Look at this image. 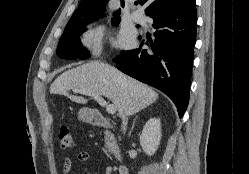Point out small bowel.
Listing matches in <instances>:
<instances>
[{
    "mask_svg": "<svg viewBox=\"0 0 249 174\" xmlns=\"http://www.w3.org/2000/svg\"><path fill=\"white\" fill-rule=\"evenodd\" d=\"M77 159L81 162L87 161L89 159L88 152L82 151L77 155ZM63 174H70L72 169V160L69 157H65L63 160ZM111 169L109 167L106 168L104 174H110Z\"/></svg>",
    "mask_w": 249,
    "mask_h": 174,
    "instance_id": "small-bowel-1",
    "label": "small bowel"
}]
</instances>
